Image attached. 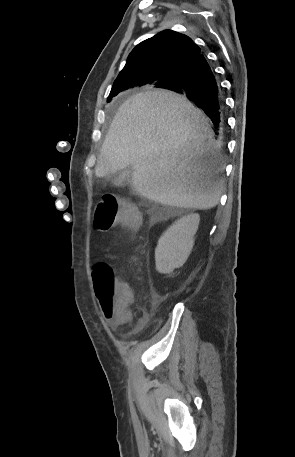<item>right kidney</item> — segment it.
I'll return each mask as SVG.
<instances>
[{
    "label": "right kidney",
    "instance_id": "ca27d5eb",
    "mask_svg": "<svg viewBox=\"0 0 295 457\" xmlns=\"http://www.w3.org/2000/svg\"><path fill=\"white\" fill-rule=\"evenodd\" d=\"M200 216L189 214L174 222L160 237L155 249L156 269L170 274L183 266L194 245V235L198 229Z\"/></svg>",
    "mask_w": 295,
    "mask_h": 457
}]
</instances>
